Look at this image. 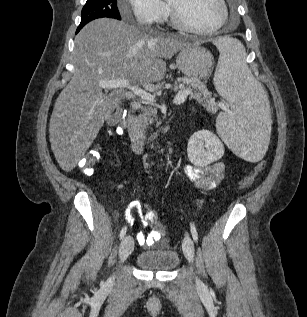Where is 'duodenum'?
Returning <instances> with one entry per match:
<instances>
[{
	"label": "duodenum",
	"instance_id": "1",
	"mask_svg": "<svg viewBox=\"0 0 307 317\" xmlns=\"http://www.w3.org/2000/svg\"><path fill=\"white\" fill-rule=\"evenodd\" d=\"M124 121H128L129 126L125 128L130 139L133 150L139 152L146 148L151 142L150 139L146 138L142 133L138 123L136 122L135 112L129 111Z\"/></svg>",
	"mask_w": 307,
	"mask_h": 317
}]
</instances>
